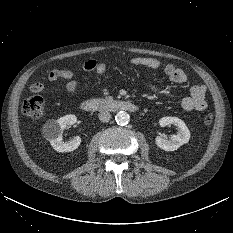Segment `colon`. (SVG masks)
Returning <instances> with one entry per match:
<instances>
[{"instance_id":"obj_1","label":"colon","mask_w":233,"mask_h":233,"mask_svg":"<svg viewBox=\"0 0 233 233\" xmlns=\"http://www.w3.org/2000/svg\"><path fill=\"white\" fill-rule=\"evenodd\" d=\"M44 99L40 95H33L22 103V113L29 118H39L43 115ZM203 122L210 125L213 122V115L208 113L204 116Z\"/></svg>"}]
</instances>
